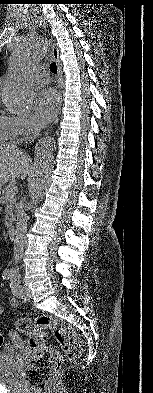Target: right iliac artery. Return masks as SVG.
<instances>
[{"mask_svg":"<svg viewBox=\"0 0 153 393\" xmlns=\"http://www.w3.org/2000/svg\"><path fill=\"white\" fill-rule=\"evenodd\" d=\"M2 277H3V279H10L11 277H13V274L9 270H4Z\"/></svg>","mask_w":153,"mask_h":393,"instance_id":"obj_1","label":"right iliac artery"}]
</instances>
